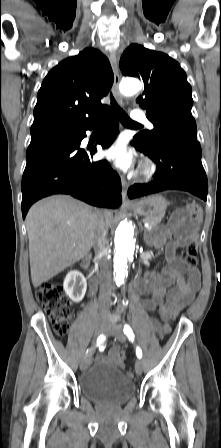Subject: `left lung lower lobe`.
I'll return each instance as SVG.
<instances>
[{"label": "left lung lower lobe", "mask_w": 221, "mask_h": 448, "mask_svg": "<svg viewBox=\"0 0 221 448\" xmlns=\"http://www.w3.org/2000/svg\"><path fill=\"white\" fill-rule=\"evenodd\" d=\"M134 147L150 157L158 166L153 181L135 184L128 190L130 199L168 189L188 191L203 200L207 199L208 183L201 162L199 143L163 141L152 150L134 142Z\"/></svg>", "instance_id": "left-lung-lower-lobe-1"}]
</instances>
